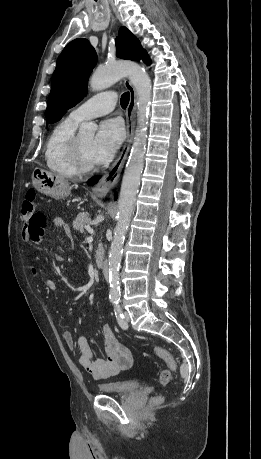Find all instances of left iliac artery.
<instances>
[{"mask_svg": "<svg viewBox=\"0 0 261 459\" xmlns=\"http://www.w3.org/2000/svg\"><path fill=\"white\" fill-rule=\"evenodd\" d=\"M115 316H116V319H117V322L119 324V326L122 328V329H127L128 325L124 319V315H123V312H122V308L120 307V305L118 304V301L115 305Z\"/></svg>", "mask_w": 261, "mask_h": 459, "instance_id": "1", "label": "left iliac artery"}]
</instances>
